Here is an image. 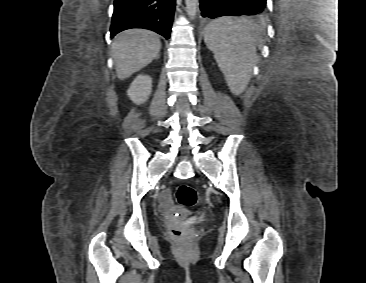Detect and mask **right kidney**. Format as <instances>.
<instances>
[{"instance_id":"1","label":"right kidney","mask_w":366,"mask_h":283,"mask_svg":"<svg viewBox=\"0 0 366 283\" xmlns=\"http://www.w3.org/2000/svg\"><path fill=\"white\" fill-rule=\"evenodd\" d=\"M152 90V79L148 75H139L131 83L127 95L136 104L147 101Z\"/></svg>"}]
</instances>
